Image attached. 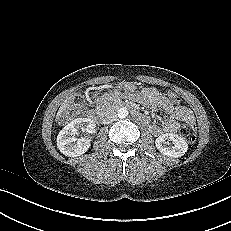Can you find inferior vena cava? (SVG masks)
I'll return each mask as SVG.
<instances>
[{"mask_svg":"<svg viewBox=\"0 0 231 231\" xmlns=\"http://www.w3.org/2000/svg\"><path fill=\"white\" fill-rule=\"evenodd\" d=\"M117 120V113L114 111H107L102 118L103 124H110Z\"/></svg>","mask_w":231,"mask_h":231,"instance_id":"602c4592","label":"inferior vena cava"}]
</instances>
